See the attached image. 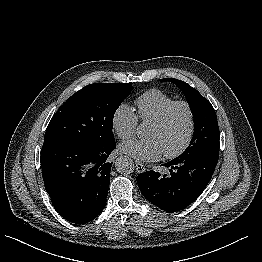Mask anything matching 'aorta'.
Wrapping results in <instances>:
<instances>
[{
	"label": "aorta",
	"instance_id": "1",
	"mask_svg": "<svg viewBox=\"0 0 262 262\" xmlns=\"http://www.w3.org/2000/svg\"><path fill=\"white\" fill-rule=\"evenodd\" d=\"M137 130H138L137 133L139 135L142 134L144 130V125L141 124L137 128ZM115 167L119 173L127 175L134 171V162L131 158L127 156H121L116 160Z\"/></svg>",
	"mask_w": 262,
	"mask_h": 262
}]
</instances>
